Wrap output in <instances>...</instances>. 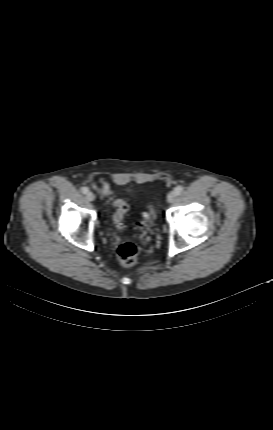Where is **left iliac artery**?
I'll return each instance as SVG.
<instances>
[{
  "label": "left iliac artery",
  "instance_id": "left-iliac-artery-1",
  "mask_svg": "<svg viewBox=\"0 0 273 430\" xmlns=\"http://www.w3.org/2000/svg\"><path fill=\"white\" fill-rule=\"evenodd\" d=\"M182 192H183V187H182L181 185H178V186L175 188V194H176V195H180Z\"/></svg>",
  "mask_w": 273,
  "mask_h": 430
}]
</instances>
